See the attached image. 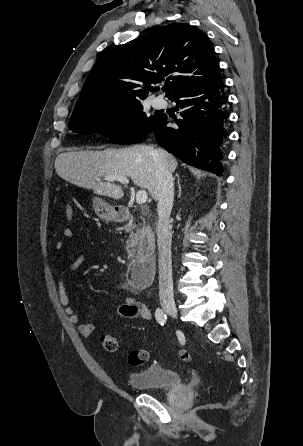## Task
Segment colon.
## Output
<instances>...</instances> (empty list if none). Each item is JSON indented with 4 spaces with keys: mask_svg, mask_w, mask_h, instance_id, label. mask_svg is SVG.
Segmentation results:
<instances>
[{
    "mask_svg": "<svg viewBox=\"0 0 303 446\" xmlns=\"http://www.w3.org/2000/svg\"><path fill=\"white\" fill-rule=\"evenodd\" d=\"M65 214L68 221L73 217V210L71 206L67 205L65 207ZM101 342L104 348L109 352H114L117 350L118 341L117 338L110 333H105L101 336ZM180 359L186 363H191L193 358L191 354L187 351L180 352ZM148 360V352L146 350H133L129 353L128 361L133 366H140L146 363Z\"/></svg>",
    "mask_w": 303,
    "mask_h": 446,
    "instance_id": "colon-1",
    "label": "colon"
}]
</instances>
